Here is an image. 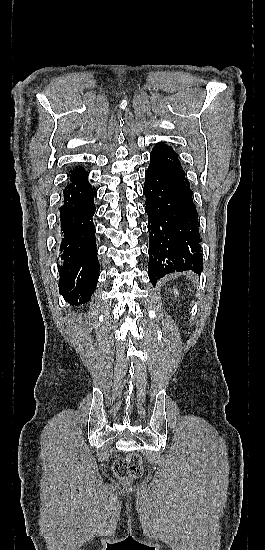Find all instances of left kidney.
Instances as JSON below:
<instances>
[{
	"label": "left kidney",
	"mask_w": 265,
	"mask_h": 550,
	"mask_svg": "<svg viewBox=\"0 0 265 550\" xmlns=\"http://www.w3.org/2000/svg\"><path fill=\"white\" fill-rule=\"evenodd\" d=\"M174 293H175L176 295H178V291H177V289H175V290H174Z\"/></svg>",
	"instance_id": "obj_1"
}]
</instances>
